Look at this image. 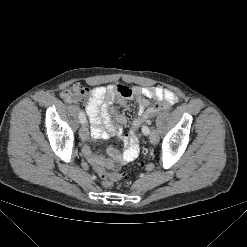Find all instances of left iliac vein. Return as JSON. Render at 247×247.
I'll return each mask as SVG.
<instances>
[{
  "label": "left iliac vein",
  "mask_w": 247,
  "mask_h": 247,
  "mask_svg": "<svg viewBox=\"0 0 247 247\" xmlns=\"http://www.w3.org/2000/svg\"><path fill=\"white\" fill-rule=\"evenodd\" d=\"M145 127L146 126H144L143 128H145ZM149 140H150V142L152 144H157V142H158V135H157L156 131H153L152 133H150Z\"/></svg>",
  "instance_id": "obj_1"
}]
</instances>
